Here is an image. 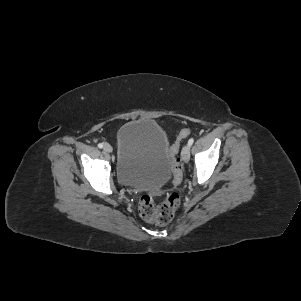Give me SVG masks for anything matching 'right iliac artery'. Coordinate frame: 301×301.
I'll use <instances>...</instances> for the list:
<instances>
[{
	"instance_id": "right-iliac-artery-1",
	"label": "right iliac artery",
	"mask_w": 301,
	"mask_h": 301,
	"mask_svg": "<svg viewBox=\"0 0 301 301\" xmlns=\"http://www.w3.org/2000/svg\"><path fill=\"white\" fill-rule=\"evenodd\" d=\"M98 147L101 149V148H103V143H99L98 144Z\"/></svg>"
}]
</instances>
